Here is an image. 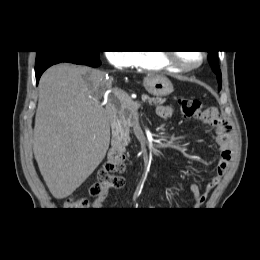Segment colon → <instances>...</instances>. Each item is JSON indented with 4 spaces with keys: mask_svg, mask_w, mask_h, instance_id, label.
<instances>
[{
    "mask_svg": "<svg viewBox=\"0 0 260 260\" xmlns=\"http://www.w3.org/2000/svg\"><path fill=\"white\" fill-rule=\"evenodd\" d=\"M181 114L185 118H199L205 111L202 109L201 102L197 99L182 98L178 101ZM126 169L125 158L119 153L110 152L106 162L98 175V181L89 189L93 197L105 195L109 188H119L123 186L124 179L121 174ZM69 210H84L88 206L86 199H67L64 203Z\"/></svg>",
    "mask_w": 260,
    "mask_h": 260,
    "instance_id": "1",
    "label": "colon"
}]
</instances>
